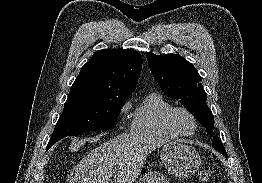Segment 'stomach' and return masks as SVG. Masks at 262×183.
<instances>
[{
  "label": "stomach",
  "mask_w": 262,
  "mask_h": 183,
  "mask_svg": "<svg viewBox=\"0 0 262 183\" xmlns=\"http://www.w3.org/2000/svg\"><path fill=\"white\" fill-rule=\"evenodd\" d=\"M160 158L169 173L181 178L194 175L201 163V157L193 147L177 141L166 142ZM136 183H169V180L160 172L150 171Z\"/></svg>",
  "instance_id": "0dacf381"
}]
</instances>
